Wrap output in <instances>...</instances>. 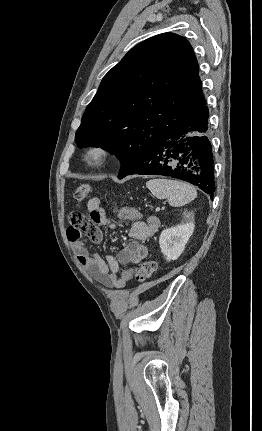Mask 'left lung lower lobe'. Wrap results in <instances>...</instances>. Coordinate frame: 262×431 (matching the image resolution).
<instances>
[{
	"label": "left lung lower lobe",
	"instance_id": "left-lung-lower-lobe-1",
	"mask_svg": "<svg viewBox=\"0 0 262 431\" xmlns=\"http://www.w3.org/2000/svg\"><path fill=\"white\" fill-rule=\"evenodd\" d=\"M208 120L209 111L205 105L197 117L147 152L127 175L169 176L213 195L214 162Z\"/></svg>",
	"mask_w": 262,
	"mask_h": 431
}]
</instances>
